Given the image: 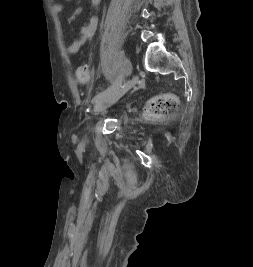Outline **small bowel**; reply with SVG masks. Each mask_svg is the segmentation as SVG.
Wrapping results in <instances>:
<instances>
[{"label": "small bowel", "instance_id": "small-bowel-1", "mask_svg": "<svg viewBox=\"0 0 253 267\" xmlns=\"http://www.w3.org/2000/svg\"><path fill=\"white\" fill-rule=\"evenodd\" d=\"M100 1L101 0H91V5L95 12L89 17L88 21L85 24L80 26L79 37L71 41L67 45V52L69 54H76L81 49V47L94 36L98 26V16L96 14V11L98 9ZM52 10L56 15L59 16L63 11V6L59 3H55L52 6Z\"/></svg>", "mask_w": 253, "mask_h": 267}]
</instances>
